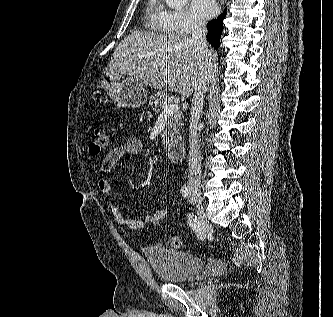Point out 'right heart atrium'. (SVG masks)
I'll return each instance as SVG.
<instances>
[{
  "mask_svg": "<svg viewBox=\"0 0 333 317\" xmlns=\"http://www.w3.org/2000/svg\"><path fill=\"white\" fill-rule=\"evenodd\" d=\"M162 22L165 30L173 34H186L199 26V24L183 10H164Z\"/></svg>",
  "mask_w": 333,
  "mask_h": 317,
  "instance_id": "d8ad5b80",
  "label": "right heart atrium"
}]
</instances>
